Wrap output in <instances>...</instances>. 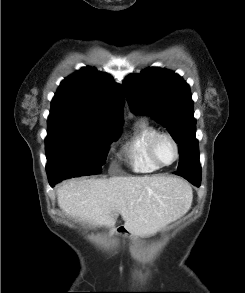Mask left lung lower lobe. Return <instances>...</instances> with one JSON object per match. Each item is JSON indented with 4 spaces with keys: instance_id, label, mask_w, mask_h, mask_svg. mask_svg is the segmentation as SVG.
<instances>
[{
    "instance_id": "left-lung-lower-lobe-1",
    "label": "left lung lower lobe",
    "mask_w": 245,
    "mask_h": 293,
    "mask_svg": "<svg viewBox=\"0 0 245 293\" xmlns=\"http://www.w3.org/2000/svg\"><path fill=\"white\" fill-rule=\"evenodd\" d=\"M174 174L179 175L187 179L193 185L199 187L201 185V174H195L187 171L177 170Z\"/></svg>"
}]
</instances>
